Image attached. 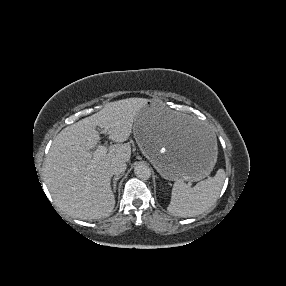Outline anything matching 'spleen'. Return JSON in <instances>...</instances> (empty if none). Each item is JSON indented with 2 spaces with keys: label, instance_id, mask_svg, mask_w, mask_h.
<instances>
[{
  "label": "spleen",
  "instance_id": "spleen-1",
  "mask_svg": "<svg viewBox=\"0 0 286 286\" xmlns=\"http://www.w3.org/2000/svg\"><path fill=\"white\" fill-rule=\"evenodd\" d=\"M224 180L223 169H219L214 177H209L194 187L177 180L173 185L167 210L178 217H192L205 212L215 204Z\"/></svg>",
  "mask_w": 286,
  "mask_h": 286
}]
</instances>
